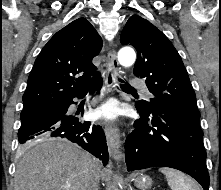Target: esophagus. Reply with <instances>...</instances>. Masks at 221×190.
Here are the masks:
<instances>
[{
    "label": "esophagus",
    "instance_id": "obj_1",
    "mask_svg": "<svg viewBox=\"0 0 221 190\" xmlns=\"http://www.w3.org/2000/svg\"><path fill=\"white\" fill-rule=\"evenodd\" d=\"M108 64L105 70V84L108 91H112L116 84V75L120 72L116 57V51L110 46L107 54ZM104 131L106 135L109 153L116 161L123 159L121 151L122 141L119 136L118 128L114 123H104Z\"/></svg>",
    "mask_w": 221,
    "mask_h": 190
}]
</instances>
